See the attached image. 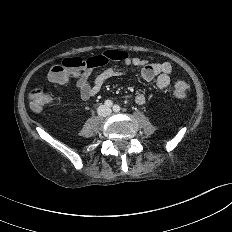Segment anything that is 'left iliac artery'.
Wrapping results in <instances>:
<instances>
[{
  "instance_id": "obj_1",
  "label": "left iliac artery",
  "mask_w": 232,
  "mask_h": 232,
  "mask_svg": "<svg viewBox=\"0 0 232 232\" xmlns=\"http://www.w3.org/2000/svg\"><path fill=\"white\" fill-rule=\"evenodd\" d=\"M113 111L119 112L120 111V106L119 105H114L113 106Z\"/></svg>"
}]
</instances>
